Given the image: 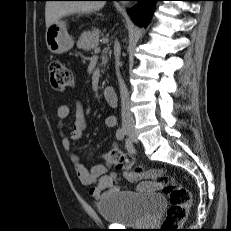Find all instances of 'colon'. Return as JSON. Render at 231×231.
I'll list each match as a JSON object with an SVG mask.
<instances>
[{
    "label": "colon",
    "instance_id": "obj_1",
    "mask_svg": "<svg viewBox=\"0 0 231 231\" xmlns=\"http://www.w3.org/2000/svg\"><path fill=\"white\" fill-rule=\"evenodd\" d=\"M49 70L51 86L56 91L65 92L74 86L72 72L61 61H52ZM104 158L111 160L118 170H123L130 182H138L145 178L157 179L163 184V192L168 197L170 206L161 225V231H175L186 220L192 197L189 190L173 177L160 171H146L142 166H134L132 157L119 149L111 150Z\"/></svg>",
    "mask_w": 231,
    "mask_h": 231
}]
</instances>
